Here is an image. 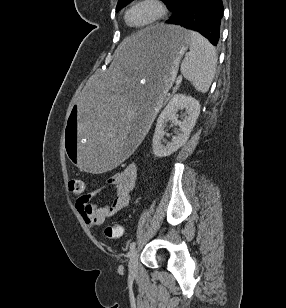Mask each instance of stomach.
<instances>
[{
	"mask_svg": "<svg viewBox=\"0 0 286 308\" xmlns=\"http://www.w3.org/2000/svg\"><path fill=\"white\" fill-rule=\"evenodd\" d=\"M136 34L120 44L102 81L74 100L63 147L78 173H107L135 153L191 43L188 31L176 25Z\"/></svg>",
	"mask_w": 286,
	"mask_h": 308,
	"instance_id": "0dacf381",
	"label": "stomach"
}]
</instances>
